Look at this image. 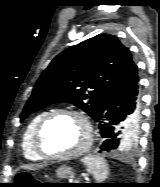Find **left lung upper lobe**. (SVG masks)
<instances>
[{"instance_id": "5c2ea615", "label": "left lung upper lobe", "mask_w": 160, "mask_h": 187, "mask_svg": "<svg viewBox=\"0 0 160 187\" xmlns=\"http://www.w3.org/2000/svg\"><path fill=\"white\" fill-rule=\"evenodd\" d=\"M131 53L116 36L100 34L71 46L49 64L20 119L52 103H72L95 119L106 95L129 75ZM139 125L121 136L136 140Z\"/></svg>"}]
</instances>
